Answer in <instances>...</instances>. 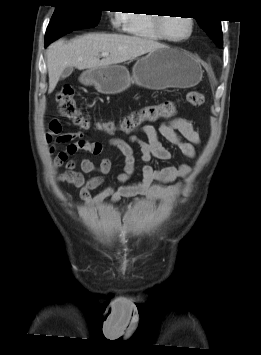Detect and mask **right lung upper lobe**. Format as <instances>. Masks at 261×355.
I'll return each mask as SVG.
<instances>
[{"mask_svg": "<svg viewBox=\"0 0 261 355\" xmlns=\"http://www.w3.org/2000/svg\"><path fill=\"white\" fill-rule=\"evenodd\" d=\"M58 3L66 2V1H71V0H57Z\"/></svg>", "mask_w": 261, "mask_h": 355, "instance_id": "right-lung-upper-lobe-1", "label": "right lung upper lobe"}]
</instances>
